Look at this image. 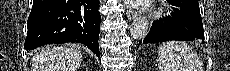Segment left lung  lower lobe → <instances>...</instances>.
I'll return each mask as SVG.
<instances>
[{"mask_svg":"<svg viewBox=\"0 0 230 71\" xmlns=\"http://www.w3.org/2000/svg\"><path fill=\"white\" fill-rule=\"evenodd\" d=\"M171 4V16L164 21H154L149 34L140 41L138 47L145 43H158L169 40H202L204 30L198 0H167Z\"/></svg>","mask_w":230,"mask_h":71,"instance_id":"1","label":"left lung lower lobe"}]
</instances>
